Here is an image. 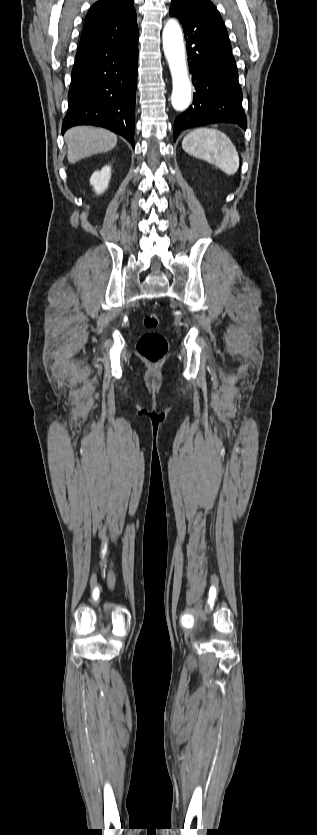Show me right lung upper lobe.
<instances>
[{"label": "right lung upper lobe", "instance_id": "1", "mask_svg": "<svg viewBox=\"0 0 317 835\" xmlns=\"http://www.w3.org/2000/svg\"><path fill=\"white\" fill-rule=\"evenodd\" d=\"M138 36L133 0H99L88 11L80 46H116Z\"/></svg>", "mask_w": 317, "mask_h": 835}]
</instances>
